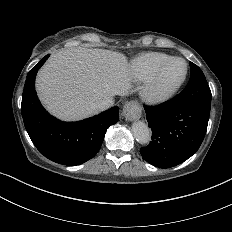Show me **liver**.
<instances>
[{"mask_svg": "<svg viewBox=\"0 0 232 232\" xmlns=\"http://www.w3.org/2000/svg\"><path fill=\"white\" fill-rule=\"evenodd\" d=\"M125 67V59L108 50H61L39 72L37 92L55 115L80 119L99 111L94 103L126 92L129 79Z\"/></svg>", "mask_w": 232, "mask_h": 232, "instance_id": "6515ba94", "label": "liver"}]
</instances>
